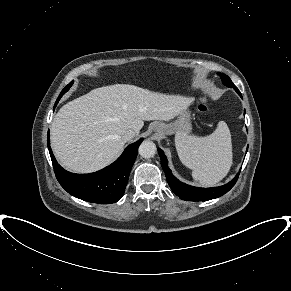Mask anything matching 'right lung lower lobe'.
Returning <instances> with one entry per match:
<instances>
[{"label":"right lung lower lobe","mask_w":291,"mask_h":291,"mask_svg":"<svg viewBox=\"0 0 291 291\" xmlns=\"http://www.w3.org/2000/svg\"><path fill=\"white\" fill-rule=\"evenodd\" d=\"M142 140L129 145L111 165L90 174L70 173L57 163L50 147L49 132L47 145L56 178L65 191L87 202L111 204L121 199L125 192L129 174Z\"/></svg>","instance_id":"right-lung-lower-lobe-1"}]
</instances>
